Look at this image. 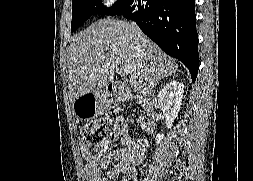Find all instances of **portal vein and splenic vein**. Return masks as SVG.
Instances as JSON below:
<instances>
[{
    "label": "portal vein and splenic vein",
    "mask_w": 253,
    "mask_h": 181,
    "mask_svg": "<svg viewBox=\"0 0 253 181\" xmlns=\"http://www.w3.org/2000/svg\"><path fill=\"white\" fill-rule=\"evenodd\" d=\"M121 69L124 74H132L134 71V67L131 64H124L121 66Z\"/></svg>",
    "instance_id": "18ae733b"
}]
</instances>
